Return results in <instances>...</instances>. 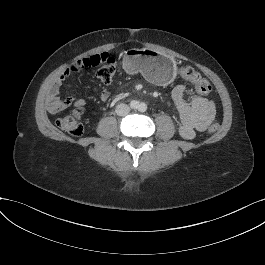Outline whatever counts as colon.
<instances>
[{"label":"colon","instance_id":"colon-1","mask_svg":"<svg viewBox=\"0 0 265 265\" xmlns=\"http://www.w3.org/2000/svg\"><path fill=\"white\" fill-rule=\"evenodd\" d=\"M100 66L97 71L98 78L103 83H109L116 71V61L108 53L95 54L74 62L66 71L76 72L88 67ZM178 73L184 79L192 82L195 90L200 95H206L211 91V85L208 80L202 77L196 70L191 67H180ZM83 108L78 107L67 114L60 115L57 118L58 126L73 136H80L83 132V126L80 122ZM220 125L214 121L208 126V132L214 133Z\"/></svg>","mask_w":265,"mask_h":265}]
</instances>
